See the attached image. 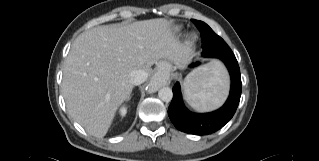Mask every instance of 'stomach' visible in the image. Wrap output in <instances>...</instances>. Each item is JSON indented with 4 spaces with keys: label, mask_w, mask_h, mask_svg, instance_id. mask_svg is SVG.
Listing matches in <instances>:
<instances>
[{
    "label": "stomach",
    "mask_w": 319,
    "mask_h": 161,
    "mask_svg": "<svg viewBox=\"0 0 319 161\" xmlns=\"http://www.w3.org/2000/svg\"><path fill=\"white\" fill-rule=\"evenodd\" d=\"M173 69L171 63L166 60L158 63V73L164 78H168Z\"/></svg>",
    "instance_id": "stomach-1"
}]
</instances>
